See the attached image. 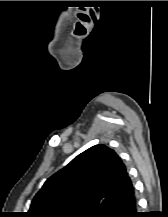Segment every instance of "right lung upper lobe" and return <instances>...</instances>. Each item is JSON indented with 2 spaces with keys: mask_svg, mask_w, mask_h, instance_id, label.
Instances as JSON below:
<instances>
[{
  "mask_svg": "<svg viewBox=\"0 0 168 217\" xmlns=\"http://www.w3.org/2000/svg\"><path fill=\"white\" fill-rule=\"evenodd\" d=\"M134 193L120 157L96 145L47 179L25 216L99 217Z\"/></svg>",
  "mask_w": 168,
  "mask_h": 217,
  "instance_id": "1",
  "label": "right lung upper lobe"
}]
</instances>
